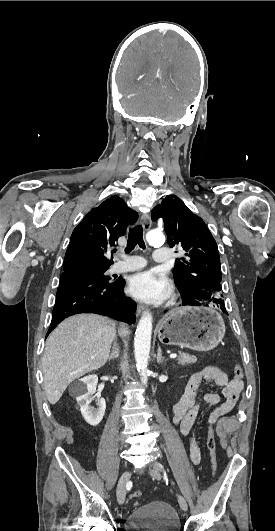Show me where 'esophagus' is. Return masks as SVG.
<instances>
[{"label":"esophagus","instance_id":"34e87169","mask_svg":"<svg viewBox=\"0 0 275 531\" xmlns=\"http://www.w3.org/2000/svg\"><path fill=\"white\" fill-rule=\"evenodd\" d=\"M141 224L144 228L145 231H148L151 227V218L149 216V214H143L141 216ZM147 311V307L143 304H138L137 305V312L138 314H143Z\"/></svg>","mask_w":275,"mask_h":531}]
</instances>
